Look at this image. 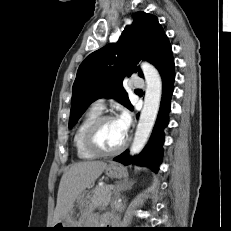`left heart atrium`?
Returning a JSON list of instances; mask_svg holds the SVG:
<instances>
[{"mask_svg": "<svg viewBox=\"0 0 231 231\" xmlns=\"http://www.w3.org/2000/svg\"><path fill=\"white\" fill-rule=\"evenodd\" d=\"M116 122L120 128V130L127 135L130 125H131V118L128 112L123 111L116 119Z\"/></svg>", "mask_w": 231, "mask_h": 231, "instance_id": "obj_1", "label": "left heart atrium"}]
</instances>
